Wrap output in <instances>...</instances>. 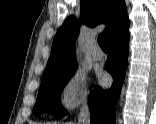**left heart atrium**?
<instances>
[{
	"instance_id": "obj_1",
	"label": "left heart atrium",
	"mask_w": 156,
	"mask_h": 124,
	"mask_svg": "<svg viewBox=\"0 0 156 124\" xmlns=\"http://www.w3.org/2000/svg\"><path fill=\"white\" fill-rule=\"evenodd\" d=\"M99 79L102 83L106 82L108 80V77L105 73H100L99 74Z\"/></svg>"
}]
</instances>
